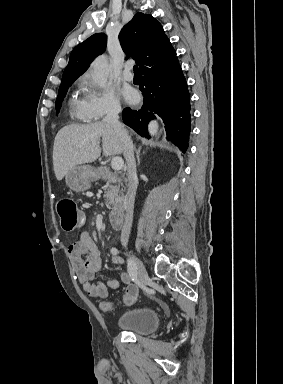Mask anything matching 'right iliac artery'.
<instances>
[{
  "mask_svg": "<svg viewBox=\"0 0 283 384\" xmlns=\"http://www.w3.org/2000/svg\"><path fill=\"white\" fill-rule=\"evenodd\" d=\"M111 253L113 255H117L119 253L117 248H112ZM127 267H128V273L132 279V281H137V268L135 264L132 262V260H127Z\"/></svg>",
  "mask_w": 283,
  "mask_h": 384,
  "instance_id": "obj_1",
  "label": "right iliac artery"
}]
</instances>
